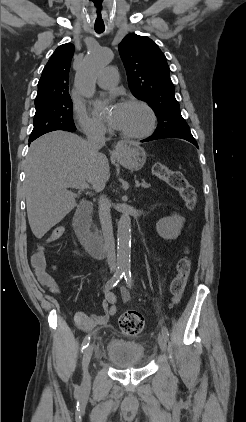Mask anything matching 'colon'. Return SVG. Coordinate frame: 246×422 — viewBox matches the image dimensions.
I'll return each mask as SVG.
<instances>
[{"mask_svg":"<svg viewBox=\"0 0 246 422\" xmlns=\"http://www.w3.org/2000/svg\"><path fill=\"white\" fill-rule=\"evenodd\" d=\"M153 173L156 177L166 181L170 187L178 192L185 206L188 209H193L196 205L197 194L195 188L189 183L185 176L162 163H155L153 165ZM64 232L62 226L55 227L49 234L47 241L53 242L59 239ZM32 264L39 274L45 273V257L42 250H38L32 257ZM191 259L185 255L177 263V273L171 283V293L174 304H178L185 292L188 279L191 272ZM143 316L133 310L124 312L119 318V326L122 332L126 335L134 336L139 334L144 328Z\"/></svg>","mask_w":246,"mask_h":422,"instance_id":"colon-1","label":"colon"}]
</instances>
